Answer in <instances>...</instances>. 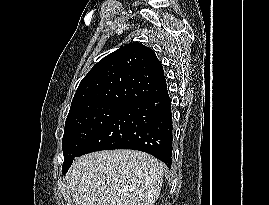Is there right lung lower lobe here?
<instances>
[{"instance_id": "obj_1", "label": "right lung lower lobe", "mask_w": 269, "mask_h": 205, "mask_svg": "<svg viewBox=\"0 0 269 205\" xmlns=\"http://www.w3.org/2000/svg\"><path fill=\"white\" fill-rule=\"evenodd\" d=\"M172 131L171 100L165 90L126 107L114 116L78 156L100 150L133 149L147 152L171 168Z\"/></svg>"}]
</instances>
